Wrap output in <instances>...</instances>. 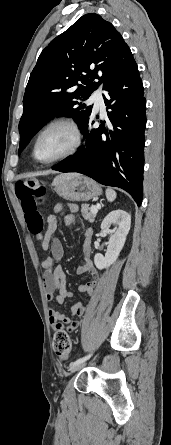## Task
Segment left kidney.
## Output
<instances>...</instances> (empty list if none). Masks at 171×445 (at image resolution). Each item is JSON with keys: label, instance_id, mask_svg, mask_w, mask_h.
Returning <instances> with one entry per match:
<instances>
[{"label": "left kidney", "instance_id": "left-kidney-1", "mask_svg": "<svg viewBox=\"0 0 171 445\" xmlns=\"http://www.w3.org/2000/svg\"><path fill=\"white\" fill-rule=\"evenodd\" d=\"M115 225L114 230H110L111 225ZM131 216L124 210H114L110 212L101 223L103 233L109 234L108 247L105 256L100 253L95 254V266L102 270L112 265L118 258L129 233Z\"/></svg>", "mask_w": 171, "mask_h": 445}]
</instances>
